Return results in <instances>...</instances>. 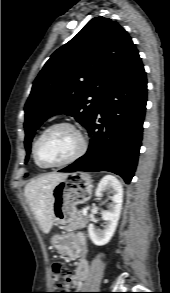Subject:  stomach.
<instances>
[{"label":"stomach","instance_id":"stomach-1","mask_svg":"<svg viewBox=\"0 0 170 293\" xmlns=\"http://www.w3.org/2000/svg\"><path fill=\"white\" fill-rule=\"evenodd\" d=\"M91 193L92 181L88 174H67L53 189V222L57 225L69 223L78 213L77 205L88 201ZM52 243L60 251L67 247L64 235L53 236Z\"/></svg>","mask_w":170,"mask_h":293}]
</instances>
